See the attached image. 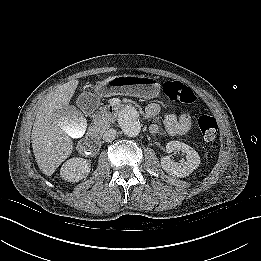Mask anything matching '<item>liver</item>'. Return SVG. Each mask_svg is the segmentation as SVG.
<instances>
[{
	"instance_id": "6515ba94",
	"label": "liver",
	"mask_w": 261,
	"mask_h": 261,
	"mask_svg": "<svg viewBox=\"0 0 261 261\" xmlns=\"http://www.w3.org/2000/svg\"><path fill=\"white\" fill-rule=\"evenodd\" d=\"M78 84V80H71L58 86L47 94L37 108L31 142L37 165L47 176H51L72 153L73 143L65 125L68 118L63 112L69 106ZM72 113L75 118L72 125L76 133L84 121L76 108L73 107Z\"/></svg>"
}]
</instances>
